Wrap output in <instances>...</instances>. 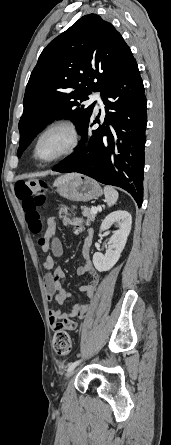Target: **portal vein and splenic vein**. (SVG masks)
Segmentation results:
<instances>
[{"instance_id":"18ae733b","label":"portal vein and splenic vein","mask_w":171,"mask_h":445,"mask_svg":"<svg viewBox=\"0 0 171 445\" xmlns=\"http://www.w3.org/2000/svg\"><path fill=\"white\" fill-rule=\"evenodd\" d=\"M98 208L97 207H92L91 208V213L92 214H97Z\"/></svg>"}]
</instances>
